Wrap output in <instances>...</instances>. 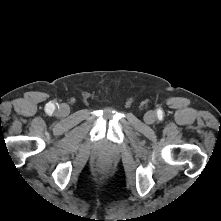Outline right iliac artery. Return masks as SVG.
Returning <instances> with one entry per match:
<instances>
[{
  "instance_id": "obj_1",
  "label": "right iliac artery",
  "mask_w": 221,
  "mask_h": 221,
  "mask_svg": "<svg viewBox=\"0 0 221 221\" xmlns=\"http://www.w3.org/2000/svg\"><path fill=\"white\" fill-rule=\"evenodd\" d=\"M55 110V106L53 104H48L46 107V111L48 114H52L53 111Z\"/></svg>"
}]
</instances>
